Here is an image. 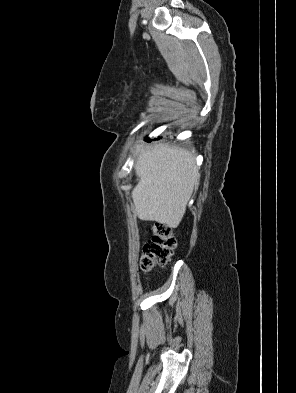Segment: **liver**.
I'll return each mask as SVG.
<instances>
[{
  "mask_svg": "<svg viewBox=\"0 0 296 393\" xmlns=\"http://www.w3.org/2000/svg\"><path fill=\"white\" fill-rule=\"evenodd\" d=\"M135 170L139 182L132 198L138 218L178 227L192 192L199 185L195 156L164 144L145 146L139 150Z\"/></svg>",
  "mask_w": 296,
  "mask_h": 393,
  "instance_id": "obj_1",
  "label": "liver"
}]
</instances>
